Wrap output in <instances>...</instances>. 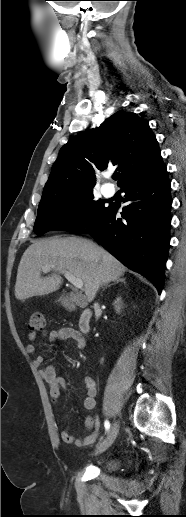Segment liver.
I'll list each match as a JSON object with an SVG mask.
<instances>
[{
  "instance_id": "obj_1",
  "label": "liver",
  "mask_w": 186,
  "mask_h": 517,
  "mask_svg": "<svg viewBox=\"0 0 186 517\" xmlns=\"http://www.w3.org/2000/svg\"><path fill=\"white\" fill-rule=\"evenodd\" d=\"M45 266L82 279L88 302L94 300L102 285L119 279L127 270L113 255L90 240L79 237L38 240L27 248L19 263L15 284L17 300L59 289L62 278L58 274L41 277Z\"/></svg>"
}]
</instances>
